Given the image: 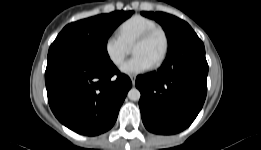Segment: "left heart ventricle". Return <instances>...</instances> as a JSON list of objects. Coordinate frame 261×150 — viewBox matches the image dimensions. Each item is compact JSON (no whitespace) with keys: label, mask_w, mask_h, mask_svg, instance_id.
<instances>
[{"label":"left heart ventricle","mask_w":261,"mask_h":150,"mask_svg":"<svg viewBox=\"0 0 261 150\" xmlns=\"http://www.w3.org/2000/svg\"><path fill=\"white\" fill-rule=\"evenodd\" d=\"M164 48V39L161 33L155 34L150 40L139 44L132 49L134 55L145 57L151 64L160 57Z\"/></svg>","instance_id":"b2bd125f"}]
</instances>
